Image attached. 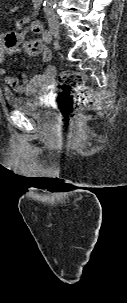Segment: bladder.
I'll return each instance as SVG.
<instances>
[{
  "mask_svg": "<svg viewBox=\"0 0 127 303\" xmlns=\"http://www.w3.org/2000/svg\"><path fill=\"white\" fill-rule=\"evenodd\" d=\"M6 100L12 109L22 111L33 118H45L48 115L44 101L36 94L7 95Z\"/></svg>",
  "mask_w": 127,
  "mask_h": 303,
  "instance_id": "1",
  "label": "bladder"
}]
</instances>
